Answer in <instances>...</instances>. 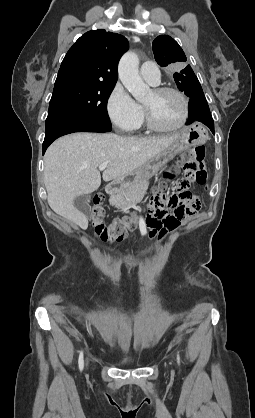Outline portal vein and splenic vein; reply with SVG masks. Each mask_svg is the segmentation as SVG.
Segmentation results:
<instances>
[{
  "instance_id": "1",
  "label": "portal vein and splenic vein",
  "mask_w": 255,
  "mask_h": 418,
  "mask_svg": "<svg viewBox=\"0 0 255 418\" xmlns=\"http://www.w3.org/2000/svg\"><path fill=\"white\" fill-rule=\"evenodd\" d=\"M108 164L107 163H102L101 165H99V170L103 171L107 168Z\"/></svg>"
}]
</instances>
